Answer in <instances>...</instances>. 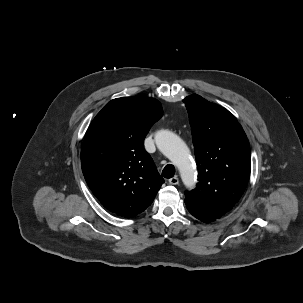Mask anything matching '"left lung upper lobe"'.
Here are the masks:
<instances>
[{"label":"left lung upper lobe","mask_w":303,"mask_h":303,"mask_svg":"<svg viewBox=\"0 0 303 303\" xmlns=\"http://www.w3.org/2000/svg\"><path fill=\"white\" fill-rule=\"evenodd\" d=\"M183 102L189 114L198 167L196 189L185 203L216 219L229 212L250 177V146L236 118L225 108L193 94Z\"/></svg>","instance_id":"obj_1"}]
</instances>
